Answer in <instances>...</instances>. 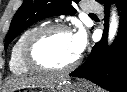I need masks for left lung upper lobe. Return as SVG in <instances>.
Returning a JSON list of instances; mask_svg holds the SVG:
<instances>
[{
  "label": "left lung upper lobe",
  "mask_w": 127,
  "mask_h": 92,
  "mask_svg": "<svg viewBox=\"0 0 127 92\" xmlns=\"http://www.w3.org/2000/svg\"><path fill=\"white\" fill-rule=\"evenodd\" d=\"M76 3L78 0H73ZM107 5L106 0H96ZM72 0H24L14 15L5 40V49L22 31L33 23L55 15H74Z\"/></svg>",
  "instance_id": "obj_1"
}]
</instances>
